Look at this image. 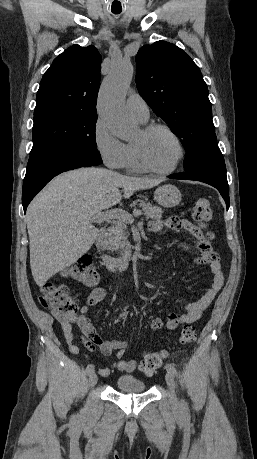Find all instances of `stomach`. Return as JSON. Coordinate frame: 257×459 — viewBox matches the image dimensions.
Instances as JSON below:
<instances>
[{
	"label": "stomach",
	"instance_id": "1",
	"mask_svg": "<svg viewBox=\"0 0 257 459\" xmlns=\"http://www.w3.org/2000/svg\"><path fill=\"white\" fill-rule=\"evenodd\" d=\"M155 200L163 207L171 208L181 201V193L178 188L171 184L158 187L154 192Z\"/></svg>",
	"mask_w": 257,
	"mask_h": 459
}]
</instances>
